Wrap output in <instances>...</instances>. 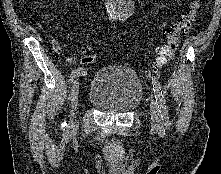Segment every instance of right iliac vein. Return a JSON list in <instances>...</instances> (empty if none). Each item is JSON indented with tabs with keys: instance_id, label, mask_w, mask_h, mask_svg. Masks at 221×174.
Wrapping results in <instances>:
<instances>
[{
	"instance_id": "63e3f726",
	"label": "right iliac vein",
	"mask_w": 221,
	"mask_h": 174,
	"mask_svg": "<svg viewBox=\"0 0 221 174\" xmlns=\"http://www.w3.org/2000/svg\"><path fill=\"white\" fill-rule=\"evenodd\" d=\"M78 94H79V80L76 78L71 87V109H70V121H69V127L74 128L76 124V116L75 111L77 107V101H78Z\"/></svg>"
}]
</instances>
